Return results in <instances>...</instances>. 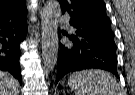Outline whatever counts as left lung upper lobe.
Segmentation results:
<instances>
[{
    "mask_svg": "<svg viewBox=\"0 0 135 95\" xmlns=\"http://www.w3.org/2000/svg\"><path fill=\"white\" fill-rule=\"evenodd\" d=\"M62 13H68L76 34L100 33L114 36L103 0H58Z\"/></svg>",
    "mask_w": 135,
    "mask_h": 95,
    "instance_id": "obj_1",
    "label": "left lung upper lobe"
}]
</instances>
